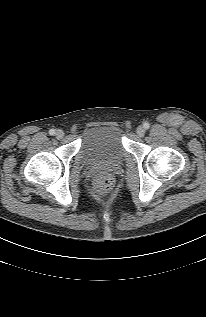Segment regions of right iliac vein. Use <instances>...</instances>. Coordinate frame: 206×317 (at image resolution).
Wrapping results in <instances>:
<instances>
[{"label":"right iliac vein","mask_w":206,"mask_h":317,"mask_svg":"<svg viewBox=\"0 0 206 317\" xmlns=\"http://www.w3.org/2000/svg\"><path fill=\"white\" fill-rule=\"evenodd\" d=\"M55 136H56V138H58V139H62V138L64 137V132H63V130L58 129V130L55 132Z\"/></svg>","instance_id":"obj_1"}]
</instances>
